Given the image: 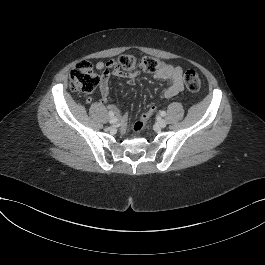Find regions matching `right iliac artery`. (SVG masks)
I'll return each instance as SVG.
<instances>
[{"label": "right iliac artery", "instance_id": "obj_1", "mask_svg": "<svg viewBox=\"0 0 265 265\" xmlns=\"http://www.w3.org/2000/svg\"><path fill=\"white\" fill-rule=\"evenodd\" d=\"M109 116H110V117L114 116V112H113V111H110V112H109Z\"/></svg>", "mask_w": 265, "mask_h": 265}]
</instances>
